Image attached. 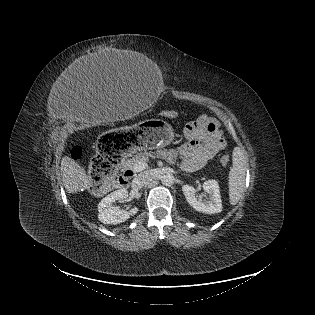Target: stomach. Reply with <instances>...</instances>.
<instances>
[{"mask_svg": "<svg viewBox=\"0 0 315 315\" xmlns=\"http://www.w3.org/2000/svg\"><path fill=\"white\" fill-rule=\"evenodd\" d=\"M174 137V129L167 121L149 119L131 126L127 131L117 130L105 135L99 148L105 156L128 158L136 156L141 150L163 148Z\"/></svg>", "mask_w": 315, "mask_h": 315, "instance_id": "1", "label": "stomach"}]
</instances>
